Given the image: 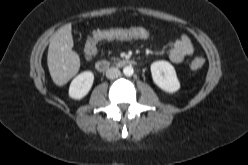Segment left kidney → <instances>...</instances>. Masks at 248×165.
Instances as JSON below:
<instances>
[{
	"label": "left kidney",
	"instance_id": "5707ae66",
	"mask_svg": "<svg viewBox=\"0 0 248 165\" xmlns=\"http://www.w3.org/2000/svg\"><path fill=\"white\" fill-rule=\"evenodd\" d=\"M153 82L163 91L174 93L180 89L174 67L167 61H156L151 64Z\"/></svg>",
	"mask_w": 248,
	"mask_h": 165
}]
</instances>
